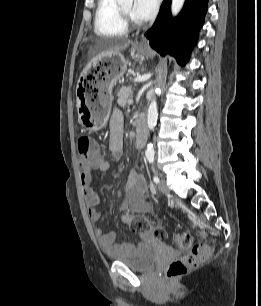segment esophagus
<instances>
[{"label": "esophagus", "mask_w": 261, "mask_h": 306, "mask_svg": "<svg viewBox=\"0 0 261 306\" xmlns=\"http://www.w3.org/2000/svg\"><path fill=\"white\" fill-rule=\"evenodd\" d=\"M139 48L140 49H149V45L146 39L142 38L140 43H139Z\"/></svg>", "instance_id": "esophagus-1"}]
</instances>
